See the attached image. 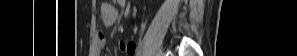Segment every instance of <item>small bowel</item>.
I'll return each mask as SVG.
<instances>
[{
    "mask_svg": "<svg viewBox=\"0 0 297 56\" xmlns=\"http://www.w3.org/2000/svg\"><path fill=\"white\" fill-rule=\"evenodd\" d=\"M126 3H127L126 0H117V4L120 7H124ZM118 14H119L118 9L114 4L112 3L102 4L101 18L106 25L113 24L116 21ZM105 47H106V37L104 34L100 33L98 35V43H97L98 52H101ZM119 48L123 51H127L128 53H131L134 51V45L127 44L124 41L119 42Z\"/></svg>",
    "mask_w": 297,
    "mask_h": 56,
    "instance_id": "1",
    "label": "small bowel"
}]
</instances>
